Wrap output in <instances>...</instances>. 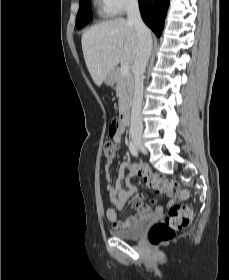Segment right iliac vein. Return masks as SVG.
I'll return each mask as SVG.
<instances>
[{"mask_svg":"<svg viewBox=\"0 0 229 280\" xmlns=\"http://www.w3.org/2000/svg\"><path fill=\"white\" fill-rule=\"evenodd\" d=\"M133 141H134L135 145L142 150L143 153H145V154L147 153L146 149L144 148L143 143H142V141L140 139L134 138Z\"/></svg>","mask_w":229,"mask_h":280,"instance_id":"obj_1","label":"right iliac vein"}]
</instances>
